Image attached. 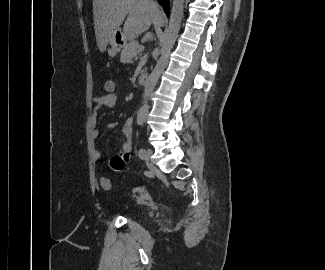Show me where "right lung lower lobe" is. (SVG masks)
I'll use <instances>...</instances> for the list:
<instances>
[{"instance_id":"1","label":"right lung lower lobe","mask_w":325,"mask_h":270,"mask_svg":"<svg viewBox=\"0 0 325 270\" xmlns=\"http://www.w3.org/2000/svg\"><path fill=\"white\" fill-rule=\"evenodd\" d=\"M160 4L164 6V11L167 16H169V10H168V5H169V0H159Z\"/></svg>"}]
</instances>
